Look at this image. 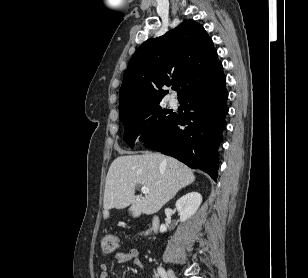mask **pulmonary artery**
<instances>
[{"mask_svg": "<svg viewBox=\"0 0 308 278\" xmlns=\"http://www.w3.org/2000/svg\"><path fill=\"white\" fill-rule=\"evenodd\" d=\"M169 101L172 106H175L177 103V100L174 97H171Z\"/></svg>", "mask_w": 308, "mask_h": 278, "instance_id": "obj_1", "label": "pulmonary artery"}]
</instances>
